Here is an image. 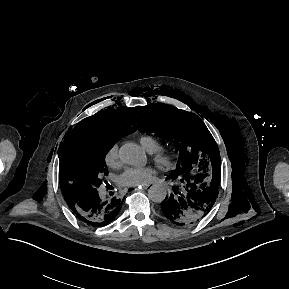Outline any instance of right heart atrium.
I'll use <instances>...</instances> for the list:
<instances>
[{"label":"right heart atrium","mask_w":289,"mask_h":289,"mask_svg":"<svg viewBox=\"0 0 289 289\" xmlns=\"http://www.w3.org/2000/svg\"><path fill=\"white\" fill-rule=\"evenodd\" d=\"M105 163L110 167H116L120 163L118 144H113L105 154Z\"/></svg>","instance_id":"obj_1"}]
</instances>
